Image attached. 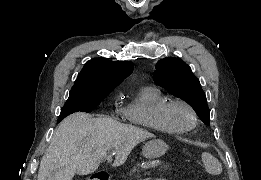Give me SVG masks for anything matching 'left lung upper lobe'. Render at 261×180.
Listing matches in <instances>:
<instances>
[{
    "label": "left lung upper lobe",
    "mask_w": 261,
    "mask_h": 180,
    "mask_svg": "<svg viewBox=\"0 0 261 180\" xmlns=\"http://www.w3.org/2000/svg\"><path fill=\"white\" fill-rule=\"evenodd\" d=\"M155 69V83L189 103L202 122L209 124L206 96L191 68L179 58L167 57L159 60Z\"/></svg>",
    "instance_id": "5c2ea615"
}]
</instances>
